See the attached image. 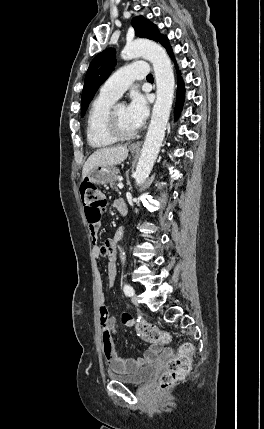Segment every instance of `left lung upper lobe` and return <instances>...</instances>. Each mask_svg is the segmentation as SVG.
<instances>
[{
    "label": "left lung upper lobe",
    "mask_w": 264,
    "mask_h": 429,
    "mask_svg": "<svg viewBox=\"0 0 264 429\" xmlns=\"http://www.w3.org/2000/svg\"><path fill=\"white\" fill-rule=\"evenodd\" d=\"M135 34L141 38H148L159 42L163 37L156 26L142 16L134 17L131 22ZM116 65L115 50L106 49L92 60L84 82L81 98V116H84L90 101L102 83L108 78Z\"/></svg>",
    "instance_id": "left-lung-upper-lobe-1"
}]
</instances>
